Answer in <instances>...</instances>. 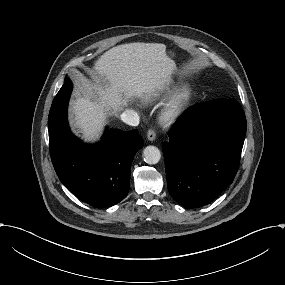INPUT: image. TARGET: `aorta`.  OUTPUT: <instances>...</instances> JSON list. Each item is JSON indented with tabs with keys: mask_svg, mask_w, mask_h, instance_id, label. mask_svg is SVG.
I'll return each mask as SVG.
<instances>
[{
	"mask_svg": "<svg viewBox=\"0 0 285 285\" xmlns=\"http://www.w3.org/2000/svg\"><path fill=\"white\" fill-rule=\"evenodd\" d=\"M144 161L148 164H157L161 158L160 150L155 146H147L143 150Z\"/></svg>",
	"mask_w": 285,
	"mask_h": 285,
	"instance_id": "762f6f07",
	"label": "aorta"
}]
</instances>
